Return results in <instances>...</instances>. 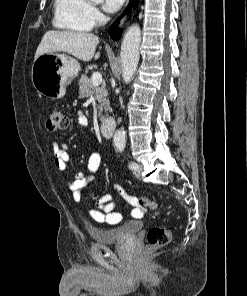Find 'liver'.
Masks as SVG:
<instances>
[{"label": "liver", "mask_w": 247, "mask_h": 296, "mask_svg": "<svg viewBox=\"0 0 247 296\" xmlns=\"http://www.w3.org/2000/svg\"><path fill=\"white\" fill-rule=\"evenodd\" d=\"M98 43L99 38L92 33L51 30L43 36L35 59L43 54L55 52H65L82 61L98 59L100 53L95 54Z\"/></svg>", "instance_id": "1"}]
</instances>
